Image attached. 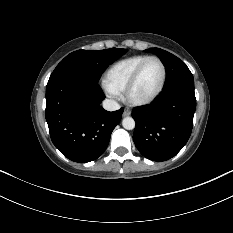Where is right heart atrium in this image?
I'll use <instances>...</instances> for the list:
<instances>
[{
    "instance_id": "obj_1",
    "label": "right heart atrium",
    "mask_w": 233,
    "mask_h": 233,
    "mask_svg": "<svg viewBox=\"0 0 233 233\" xmlns=\"http://www.w3.org/2000/svg\"><path fill=\"white\" fill-rule=\"evenodd\" d=\"M104 89L106 91V93L113 98H118L119 97V93H117L116 91H114L113 89H111L110 87H108L106 84L104 85Z\"/></svg>"
}]
</instances>
